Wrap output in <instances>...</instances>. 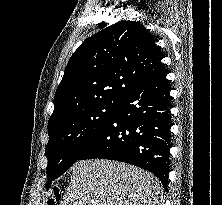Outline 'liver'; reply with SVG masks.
I'll use <instances>...</instances> for the list:
<instances>
[{"mask_svg":"<svg viewBox=\"0 0 222 205\" xmlns=\"http://www.w3.org/2000/svg\"><path fill=\"white\" fill-rule=\"evenodd\" d=\"M162 202L163 187L151 173L97 159L72 166L70 184L60 205H163Z\"/></svg>","mask_w":222,"mask_h":205,"instance_id":"obj_1","label":"liver"}]
</instances>
